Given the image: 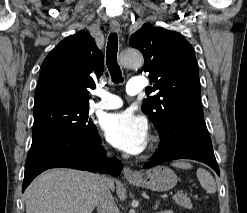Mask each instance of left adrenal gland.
Segmentation results:
<instances>
[{"instance_id": "1", "label": "left adrenal gland", "mask_w": 247, "mask_h": 213, "mask_svg": "<svg viewBox=\"0 0 247 213\" xmlns=\"http://www.w3.org/2000/svg\"><path fill=\"white\" fill-rule=\"evenodd\" d=\"M156 208H157V204L155 205L154 209H156Z\"/></svg>"}]
</instances>
